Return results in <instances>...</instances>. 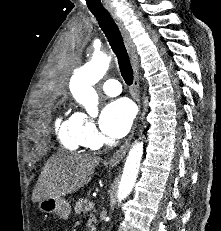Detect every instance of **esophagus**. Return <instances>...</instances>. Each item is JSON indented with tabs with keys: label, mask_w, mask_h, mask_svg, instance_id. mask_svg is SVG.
Masks as SVG:
<instances>
[{
	"label": "esophagus",
	"mask_w": 221,
	"mask_h": 231,
	"mask_svg": "<svg viewBox=\"0 0 221 231\" xmlns=\"http://www.w3.org/2000/svg\"><path fill=\"white\" fill-rule=\"evenodd\" d=\"M109 12L121 31L126 49L128 51V54H129V57L131 60L132 69H133V76H134L133 97L136 100V102L138 104V108H139V112H138V116H137V119H138V117L140 116V113H141V102H140V86H139V64H138V57L136 54L135 45H134L128 31L126 30L123 22L118 17L116 12L113 10H110ZM135 128H136V123H135V126H134L130 136L125 140L124 144L119 148V150L116 153H114V155L110 158L109 164L111 166L117 165L123 159V157L126 155L128 147L130 145V142L133 138Z\"/></svg>",
	"instance_id": "34e87169"
}]
</instances>
